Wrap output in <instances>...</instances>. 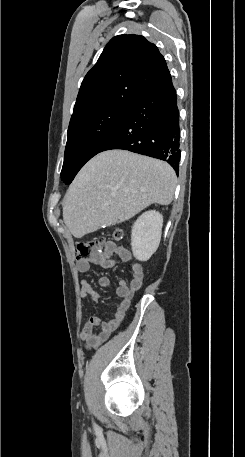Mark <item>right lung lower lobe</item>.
Returning a JSON list of instances; mask_svg holds the SVG:
<instances>
[{
    "label": "right lung lower lobe",
    "mask_w": 245,
    "mask_h": 457,
    "mask_svg": "<svg viewBox=\"0 0 245 457\" xmlns=\"http://www.w3.org/2000/svg\"><path fill=\"white\" fill-rule=\"evenodd\" d=\"M179 110L171 77L144 91L100 152L123 149L168 162L178 174Z\"/></svg>",
    "instance_id": "98d812e1"
}]
</instances>
